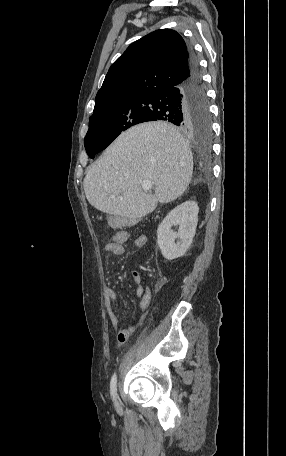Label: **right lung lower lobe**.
<instances>
[{"label":"right lung lower lobe","mask_w":286,"mask_h":456,"mask_svg":"<svg viewBox=\"0 0 286 456\" xmlns=\"http://www.w3.org/2000/svg\"><path fill=\"white\" fill-rule=\"evenodd\" d=\"M185 80L162 87L141 97L145 121L165 120L184 130L203 122L209 114L198 60L189 48V67ZM210 115V114H209Z\"/></svg>","instance_id":"1"}]
</instances>
